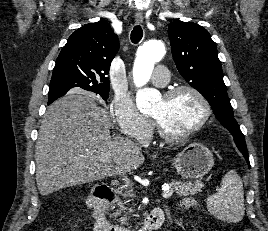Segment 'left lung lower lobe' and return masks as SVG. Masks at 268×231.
<instances>
[{
  "label": "left lung lower lobe",
  "mask_w": 268,
  "mask_h": 231,
  "mask_svg": "<svg viewBox=\"0 0 268 231\" xmlns=\"http://www.w3.org/2000/svg\"><path fill=\"white\" fill-rule=\"evenodd\" d=\"M241 153L243 154V156H244V158L246 159V161H247V163H248V166H249V168H250L249 157H248L247 152H245V151H241Z\"/></svg>",
  "instance_id": "0a47b994"
}]
</instances>
